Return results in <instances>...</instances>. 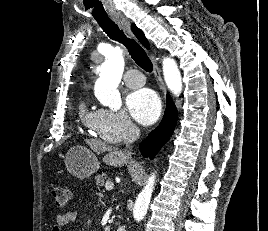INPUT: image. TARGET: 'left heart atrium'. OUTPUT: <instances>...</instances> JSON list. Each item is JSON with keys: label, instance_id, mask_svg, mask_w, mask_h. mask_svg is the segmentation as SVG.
Wrapping results in <instances>:
<instances>
[{"label": "left heart atrium", "instance_id": "39dd6f15", "mask_svg": "<svg viewBox=\"0 0 268 231\" xmlns=\"http://www.w3.org/2000/svg\"><path fill=\"white\" fill-rule=\"evenodd\" d=\"M126 107L131 117L143 125H151L161 114V103L157 94L147 88L130 93Z\"/></svg>", "mask_w": 268, "mask_h": 231}]
</instances>
